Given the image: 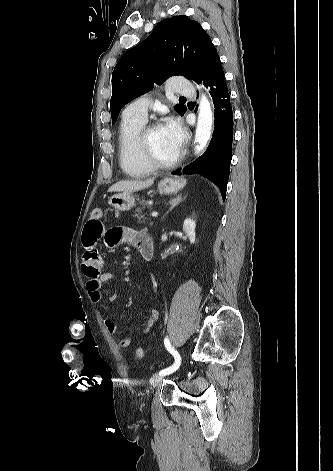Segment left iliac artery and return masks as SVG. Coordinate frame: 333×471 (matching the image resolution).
I'll return each instance as SVG.
<instances>
[{
    "instance_id": "1",
    "label": "left iliac artery",
    "mask_w": 333,
    "mask_h": 471,
    "mask_svg": "<svg viewBox=\"0 0 333 471\" xmlns=\"http://www.w3.org/2000/svg\"><path fill=\"white\" fill-rule=\"evenodd\" d=\"M164 345H165L166 349L173 355L175 361H174L173 365H171L170 367L161 370L159 372V375L171 374V373L175 372L181 364V357H180L179 353L174 349V347L171 346V343H170V341L167 337L164 339Z\"/></svg>"
}]
</instances>
